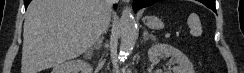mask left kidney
<instances>
[{
    "mask_svg": "<svg viewBox=\"0 0 244 73\" xmlns=\"http://www.w3.org/2000/svg\"><path fill=\"white\" fill-rule=\"evenodd\" d=\"M173 57L177 66L173 67L172 73H195L192 62L179 49L168 44H154L148 51V58L152 64H156L163 57ZM156 73H162L161 70Z\"/></svg>",
    "mask_w": 244,
    "mask_h": 73,
    "instance_id": "5707ae66",
    "label": "left kidney"
}]
</instances>
